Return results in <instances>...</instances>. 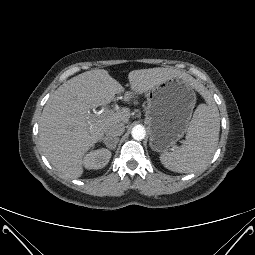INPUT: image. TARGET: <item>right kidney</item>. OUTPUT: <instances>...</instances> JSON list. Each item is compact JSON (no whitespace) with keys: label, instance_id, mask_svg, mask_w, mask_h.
I'll use <instances>...</instances> for the list:
<instances>
[{"label":"right kidney","instance_id":"right-kidney-1","mask_svg":"<svg viewBox=\"0 0 255 255\" xmlns=\"http://www.w3.org/2000/svg\"><path fill=\"white\" fill-rule=\"evenodd\" d=\"M111 158V153L107 149H98L89 152L83 159L86 169H101L105 167Z\"/></svg>","mask_w":255,"mask_h":255}]
</instances>
